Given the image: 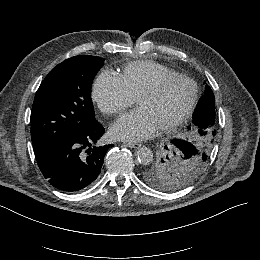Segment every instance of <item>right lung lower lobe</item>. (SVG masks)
Wrapping results in <instances>:
<instances>
[{"instance_id": "98d812e1", "label": "right lung lower lobe", "mask_w": 260, "mask_h": 260, "mask_svg": "<svg viewBox=\"0 0 260 260\" xmlns=\"http://www.w3.org/2000/svg\"><path fill=\"white\" fill-rule=\"evenodd\" d=\"M104 132L103 126L96 121L84 136L36 156L48 182L64 192L82 191L95 182L101 173L104 156L113 146L96 144Z\"/></svg>"}]
</instances>
